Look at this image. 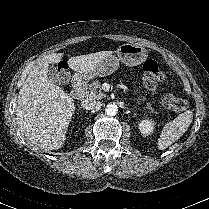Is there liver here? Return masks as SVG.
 I'll return each mask as SVG.
<instances>
[{"label": "liver", "mask_w": 209, "mask_h": 209, "mask_svg": "<svg viewBox=\"0 0 209 209\" xmlns=\"http://www.w3.org/2000/svg\"><path fill=\"white\" fill-rule=\"evenodd\" d=\"M112 51L71 57L69 67L79 74L93 70ZM63 53L47 55L28 75L18 95L17 125L26 139L41 149H59L66 140L75 104L72 97L48 79L50 63H58Z\"/></svg>", "instance_id": "liver-1"}]
</instances>
